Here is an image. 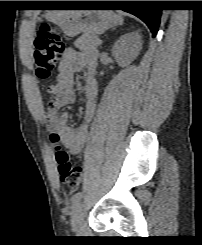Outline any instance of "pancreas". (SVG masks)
I'll use <instances>...</instances> for the list:
<instances>
[{"label": "pancreas", "mask_w": 202, "mask_h": 245, "mask_svg": "<svg viewBox=\"0 0 202 245\" xmlns=\"http://www.w3.org/2000/svg\"><path fill=\"white\" fill-rule=\"evenodd\" d=\"M98 39L96 35L85 33L75 41L74 45L76 48L83 51L96 49L101 45Z\"/></svg>", "instance_id": "1"}]
</instances>
